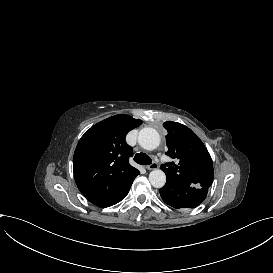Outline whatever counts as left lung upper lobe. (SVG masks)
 <instances>
[{
	"instance_id": "left-lung-upper-lobe-1",
	"label": "left lung upper lobe",
	"mask_w": 273,
	"mask_h": 273,
	"mask_svg": "<svg viewBox=\"0 0 273 273\" xmlns=\"http://www.w3.org/2000/svg\"><path fill=\"white\" fill-rule=\"evenodd\" d=\"M166 154L177 160L161 166L167 179L186 185L209 188L213 182V162L199 137L180 123L167 121Z\"/></svg>"
}]
</instances>
